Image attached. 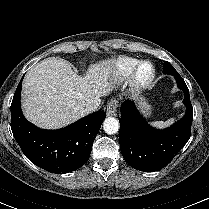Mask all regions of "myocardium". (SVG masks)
Returning <instances> with one entry per match:
<instances>
[{
    "label": "myocardium",
    "instance_id": "f54148a6",
    "mask_svg": "<svg viewBox=\"0 0 209 209\" xmlns=\"http://www.w3.org/2000/svg\"><path fill=\"white\" fill-rule=\"evenodd\" d=\"M148 65L151 68L150 75L144 77L141 74L142 68ZM156 78V68L150 61H141L132 74V84L136 90H142L150 87Z\"/></svg>",
    "mask_w": 209,
    "mask_h": 209
}]
</instances>
